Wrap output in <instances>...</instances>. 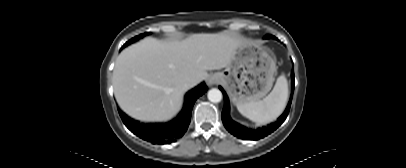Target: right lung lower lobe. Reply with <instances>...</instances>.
Masks as SVG:
<instances>
[{"label":"right lung lower lobe","mask_w":406,"mask_h":168,"mask_svg":"<svg viewBox=\"0 0 406 168\" xmlns=\"http://www.w3.org/2000/svg\"><path fill=\"white\" fill-rule=\"evenodd\" d=\"M206 91L207 86L205 83L190 90L185 96L183 109L177 117L167 123H139L127 117L122 111H118L126 127L138 137L152 142L153 144H168L176 141V139L182 137L186 132L191 120L193 105L197 98Z\"/></svg>","instance_id":"98d812e1"}]
</instances>
